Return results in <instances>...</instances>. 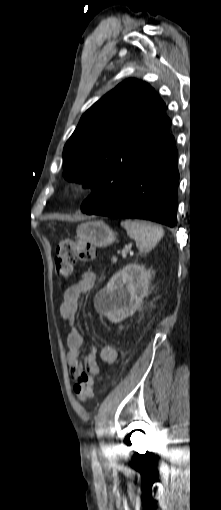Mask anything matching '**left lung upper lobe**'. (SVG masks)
<instances>
[{
	"mask_svg": "<svg viewBox=\"0 0 221 510\" xmlns=\"http://www.w3.org/2000/svg\"><path fill=\"white\" fill-rule=\"evenodd\" d=\"M165 103L145 82L128 79L92 105L65 144L63 176L93 192L101 209L153 154L174 143Z\"/></svg>",
	"mask_w": 221,
	"mask_h": 510,
	"instance_id": "5c2ea615",
	"label": "left lung upper lobe"
}]
</instances>
